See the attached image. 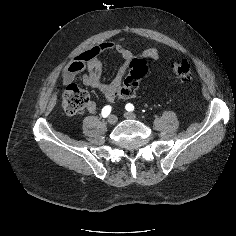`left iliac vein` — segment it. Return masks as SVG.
<instances>
[{"label": "left iliac vein", "mask_w": 236, "mask_h": 236, "mask_svg": "<svg viewBox=\"0 0 236 236\" xmlns=\"http://www.w3.org/2000/svg\"><path fill=\"white\" fill-rule=\"evenodd\" d=\"M124 116L127 119H136V115L134 113H132V112H125Z\"/></svg>", "instance_id": "4c4485c4"}]
</instances>
